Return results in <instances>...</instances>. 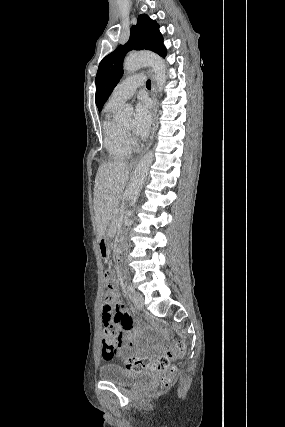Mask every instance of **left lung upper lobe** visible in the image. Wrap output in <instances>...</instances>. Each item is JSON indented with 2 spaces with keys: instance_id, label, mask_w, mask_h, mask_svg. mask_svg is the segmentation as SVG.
<instances>
[{
  "instance_id": "obj_1",
  "label": "left lung upper lobe",
  "mask_w": 285,
  "mask_h": 427,
  "mask_svg": "<svg viewBox=\"0 0 285 427\" xmlns=\"http://www.w3.org/2000/svg\"><path fill=\"white\" fill-rule=\"evenodd\" d=\"M133 49L151 50L162 57L167 54L158 24L146 14L139 15L136 26L131 27L128 42L124 46L120 45L99 64L95 81V103L99 111L102 110L123 74V60L126 53Z\"/></svg>"
}]
</instances>
